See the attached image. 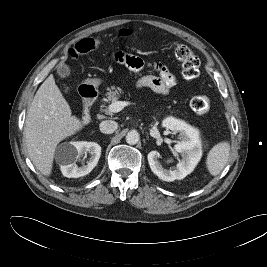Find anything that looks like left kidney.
I'll return each mask as SVG.
<instances>
[{
    "mask_svg": "<svg viewBox=\"0 0 267 267\" xmlns=\"http://www.w3.org/2000/svg\"><path fill=\"white\" fill-rule=\"evenodd\" d=\"M162 125L170 129L172 133L179 132V139L174 149L182 156L181 161L174 169L167 170L159 162L160 154L158 151H151L148 153L147 159L152 172L158 176L159 179L167 182L174 180H181L190 174L198 160V151L195 149L197 139L194 130L184 121L175 119L174 117H167L163 120Z\"/></svg>",
    "mask_w": 267,
    "mask_h": 267,
    "instance_id": "obj_1",
    "label": "left kidney"
}]
</instances>
